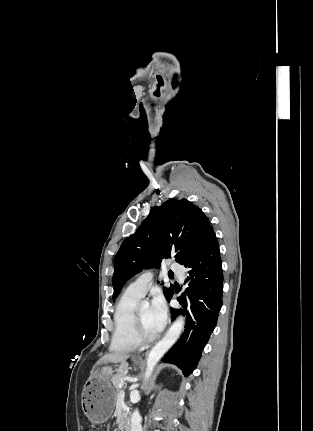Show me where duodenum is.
<instances>
[{"label":"duodenum","instance_id":"obj_1","mask_svg":"<svg viewBox=\"0 0 313 431\" xmlns=\"http://www.w3.org/2000/svg\"><path fill=\"white\" fill-rule=\"evenodd\" d=\"M119 431H130V422L128 419H125L120 423Z\"/></svg>","mask_w":313,"mask_h":431}]
</instances>
